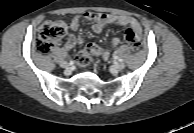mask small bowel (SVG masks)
<instances>
[{
    "label": "small bowel",
    "instance_id": "obj_1",
    "mask_svg": "<svg viewBox=\"0 0 194 133\" xmlns=\"http://www.w3.org/2000/svg\"><path fill=\"white\" fill-rule=\"evenodd\" d=\"M82 20H89L93 21L92 24V30L95 33H100L104 29V27L108 24H118L121 26H129V29H131L135 35L140 39L142 28L140 23L133 17L126 16V15H115V14H108V13H96V12H86L79 16L74 17L70 24L69 28L71 31L75 32L77 31L80 26ZM77 44V38L73 34H69L65 45H64V51L67 52L74 48ZM120 44V39L115 37L111 40L110 45L111 47H116ZM91 44H88L90 46ZM101 53L104 57L109 56L108 49H102Z\"/></svg>",
    "mask_w": 194,
    "mask_h": 133
}]
</instances>
